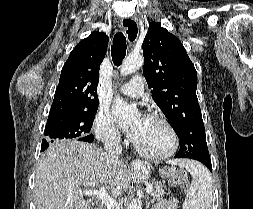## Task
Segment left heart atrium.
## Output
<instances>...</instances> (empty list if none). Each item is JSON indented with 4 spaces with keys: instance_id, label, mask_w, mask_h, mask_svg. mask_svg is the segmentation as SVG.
Returning <instances> with one entry per match:
<instances>
[{
    "instance_id": "obj_1",
    "label": "left heart atrium",
    "mask_w": 253,
    "mask_h": 209,
    "mask_svg": "<svg viewBox=\"0 0 253 209\" xmlns=\"http://www.w3.org/2000/svg\"><path fill=\"white\" fill-rule=\"evenodd\" d=\"M147 117H142L138 123V125L136 126H133L131 128V130L128 131V136L133 140V141H136L137 138L139 137V134H140V131H141V128L143 126V124L145 123Z\"/></svg>"
}]
</instances>
